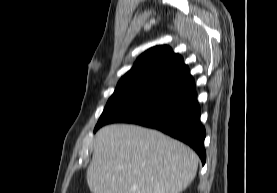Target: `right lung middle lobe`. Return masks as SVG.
<instances>
[{
    "label": "right lung middle lobe",
    "mask_w": 277,
    "mask_h": 193,
    "mask_svg": "<svg viewBox=\"0 0 277 193\" xmlns=\"http://www.w3.org/2000/svg\"><path fill=\"white\" fill-rule=\"evenodd\" d=\"M147 94L148 93L142 91L115 90L113 95L108 100L95 129L106 123L110 118H112L123 109L133 105L138 100L142 99Z\"/></svg>",
    "instance_id": "obj_1"
}]
</instances>
